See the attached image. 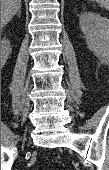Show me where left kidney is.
<instances>
[{
	"label": "left kidney",
	"instance_id": "5707ae66",
	"mask_svg": "<svg viewBox=\"0 0 109 170\" xmlns=\"http://www.w3.org/2000/svg\"><path fill=\"white\" fill-rule=\"evenodd\" d=\"M79 24L89 49L101 59L109 53V20L94 12H83Z\"/></svg>",
	"mask_w": 109,
	"mask_h": 170
}]
</instances>
